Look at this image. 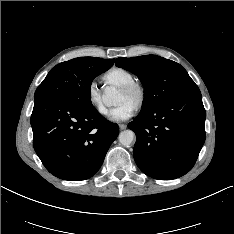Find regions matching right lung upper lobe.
Instances as JSON below:
<instances>
[{"label":"right lung upper lobe","instance_id":"obj_1","mask_svg":"<svg viewBox=\"0 0 234 234\" xmlns=\"http://www.w3.org/2000/svg\"><path fill=\"white\" fill-rule=\"evenodd\" d=\"M80 59L91 66H107L111 67L114 64L115 59L107 60L94 57H80Z\"/></svg>","mask_w":234,"mask_h":234}]
</instances>
